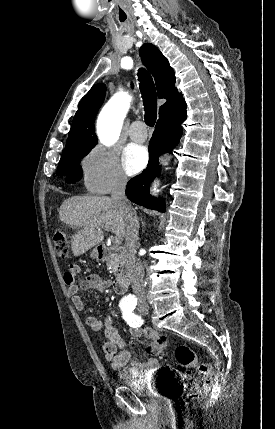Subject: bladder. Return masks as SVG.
I'll return each mask as SVG.
<instances>
[{
	"label": "bladder",
	"instance_id": "obj_1",
	"mask_svg": "<svg viewBox=\"0 0 275 429\" xmlns=\"http://www.w3.org/2000/svg\"><path fill=\"white\" fill-rule=\"evenodd\" d=\"M127 385L137 398H149V403H178L175 377L131 378Z\"/></svg>",
	"mask_w": 275,
	"mask_h": 429
}]
</instances>
